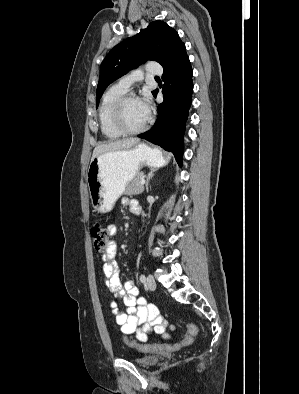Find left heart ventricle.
<instances>
[{
    "label": "left heart ventricle",
    "instance_id": "1",
    "mask_svg": "<svg viewBox=\"0 0 299 394\" xmlns=\"http://www.w3.org/2000/svg\"><path fill=\"white\" fill-rule=\"evenodd\" d=\"M147 117L138 99H132L125 103L123 108V119L127 127H139L146 121Z\"/></svg>",
    "mask_w": 299,
    "mask_h": 394
}]
</instances>
